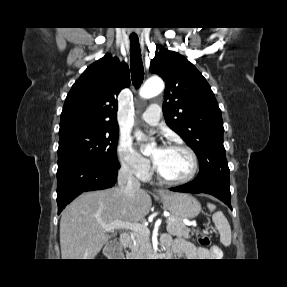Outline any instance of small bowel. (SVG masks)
Segmentation results:
<instances>
[{"mask_svg":"<svg viewBox=\"0 0 287 287\" xmlns=\"http://www.w3.org/2000/svg\"><path fill=\"white\" fill-rule=\"evenodd\" d=\"M161 241L168 249L170 256L195 260L207 259L210 256L214 257L220 254V249L216 246L208 250L206 248L196 247L182 238L172 240L168 235H164Z\"/></svg>","mask_w":287,"mask_h":287,"instance_id":"1","label":"small bowel"}]
</instances>
